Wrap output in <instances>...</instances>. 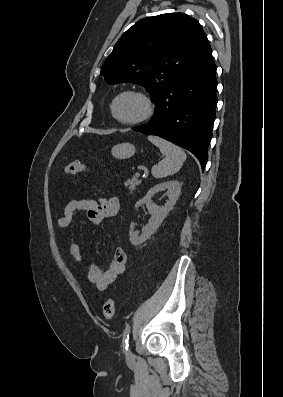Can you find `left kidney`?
Masks as SVG:
<instances>
[{"label":"left kidney","mask_w":283,"mask_h":397,"mask_svg":"<svg viewBox=\"0 0 283 397\" xmlns=\"http://www.w3.org/2000/svg\"><path fill=\"white\" fill-rule=\"evenodd\" d=\"M162 190H167L169 194V200L165 203L164 206L159 207L151 201V197ZM180 193L181 184L178 181L172 180L154 186L141 200L136 202L135 208L143 204L146 205L149 213L152 215V219L145 227H143L141 235H139V233L135 231V224H130L129 236L130 241L134 246L142 244L147 239H149L152 234L155 233V231L161 225L168 213L172 210Z\"/></svg>","instance_id":"5707ae66"}]
</instances>
